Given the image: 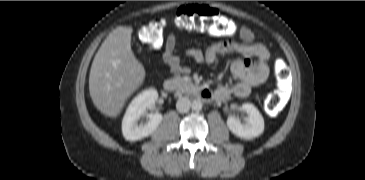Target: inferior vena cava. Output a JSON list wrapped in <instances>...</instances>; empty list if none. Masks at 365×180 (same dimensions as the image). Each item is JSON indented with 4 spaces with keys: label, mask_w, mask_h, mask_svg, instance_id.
Returning a JSON list of instances; mask_svg holds the SVG:
<instances>
[{
    "label": "inferior vena cava",
    "mask_w": 365,
    "mask_h": 180,
    "mask_svg": "<svg viewBox=\"0 0 365 180\" xmlns=\"http://www.w3.org/2000/svg\"><path fill=\"white\" fill-rule=\"evenodd\" d=\"M190 107H191V102L186 97L178 99V101L176 103V109L180 113H185V112L189 111Z\"/></svg>",
    "instance_id": "1"
}]
</instances>
